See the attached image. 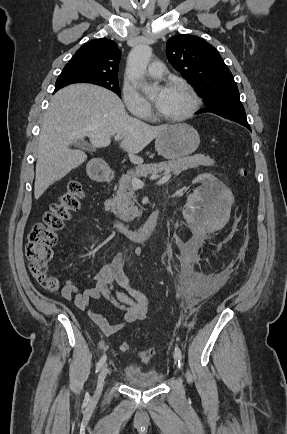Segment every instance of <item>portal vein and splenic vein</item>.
Segmentation results:
<instances>
[{"label":"portal vein and splenic vein","instance_id":"obj_1","mask_svg":"<svg viewBox=\"0 0 287 434\" xmlns=\"http://www.w3.org/2000/svg\"><path fill=\"white\" fill-rule=\"evenodd\" d=\"M121 139H122V137H121L120 135H115V140H116V141H119V140H121ZM170 178H171L170 171H167V172H165L164 175H163V176H162V177H161V178L156 182V184H157V185H162V184L166 183ZM144 185H145L144 182L141 181L140 179H138V178H133V179H132V186H133L134 188H142Z\"/></svg>","mask_w":287,"mask_h":434}]
</instances>
